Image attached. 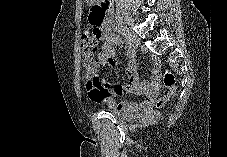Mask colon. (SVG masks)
<instances>
[{
  "label": "colon",
  "mask_w": 227,
  "mask_h": 157,
  "mask_svg": "<svg viewBox=\"0 0 227 157\" xmlns=\"http://www.w3.org/2000/svg\"><path fill=\"white\" fill-rule=\"evenodd\" d=\"M89 16H98V9L92 8ZM94 26L97 27V25ZM98 39V32H94L91 34L86 31L81 35L83 67L85 70L86 84L88 85L96 84L99 81V62L95 57ZM163 83L164 86L167 88L168 93L167 95L156 100L155 105L157 108L163 107L175 91L176 80L174 75L168 70L164 73Z\"/></svg>",
  "instance_id": "obj_1"
}]
</instances>
